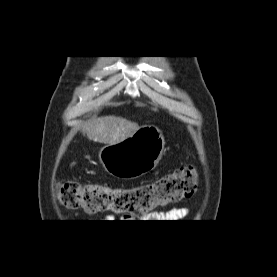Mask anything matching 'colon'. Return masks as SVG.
Here are the masks:
<instances>
[{"mask_svg": "<svg viewBox=\"0 0 277 277\" xmlns=\"http://www.w3.org/2000/svg\"><path fill=\"white\" fill-rule=\"evenodd\" d=\"M198 185L193 166L178 168L161 178L129 188L74 181L59 182L56 194L62 205L86 212L109 211L117 214L144 216L159 206L192 196Z\"/></svg>", "mask_w": 277, "mask_h": 277, "instance_id": "obj_1", "label": "colon"}]
</instances>
